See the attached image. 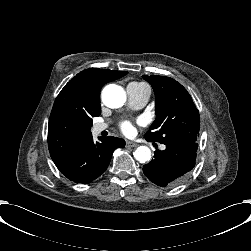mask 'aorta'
I'll use <instances>...</instances> for the list:
<instances>
[{
    "label": "aorta",
    "mask_w": 251,
    "mask_h": 251,
    "mask_svg": "<svg viewBox=\"0 0 251 251\" xmlns=\"http://www.w3.org/2000/svg\"><path fill=\"white\" fill-rule=\"evenodd\" d=\"M102 100L106 106L116 109L126 103L127 94L122 86L110 84L103 89ZM133 155L140 163H146L151 159V150L147 146H139Z\"/></svg>",
    "instance_id": "1"
}]
</instances>
